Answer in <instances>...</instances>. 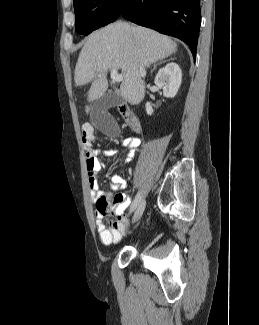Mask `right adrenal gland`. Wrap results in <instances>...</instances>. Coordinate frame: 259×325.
Here are the masks:
<instances>
[{"label": "right adrenal gland", "instance_id": "right-adrenal-gland-1", "mask_svg": "<svg viewBox=\"0 0 259 325\" xmlns=\"http://www.w3.org/2000/svg\"><path fill=\"white\" fill-rule=\"evenodd\" d=\"M164 62H166V61H160L159 63L154 64V65H153V69L151 70V73L156 69V67H157L158 65H160V64H162V63H164Z\"/></svg>", "mask_w": 259, "mask_h": 325}]
</instances>
